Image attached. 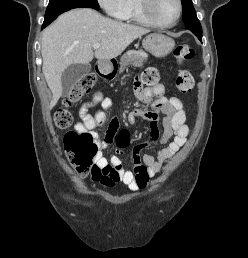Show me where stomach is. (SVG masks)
Listing matches in <instances>:
<instances>
[{
	"mask_svg": "<svg viewBox=\"0 0 248 258\" xmlns=\"http://www.w3.org/2000/svg\"><path fill=\"white\" fill-rule=\"evenodd\" d=\"M143 47L155 57H165L173 50L175 42L166 35L153 33L145 37ZM113 68L111 61H103L99 65V71L103 75L110 74Z\"/></svg>",
	"mask_w": 248,
	"mask_h": 258,
	"instance_id": "0dacf381",
	"label": "stomach"
}]
</instances>
